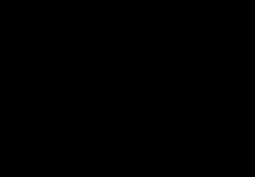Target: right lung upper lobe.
<instances>
[{"mask_svg": "<svg viewBox=\"0 0 255 177\" xmlns=\"http://www.w3.org/2000/svg\"><path fill=\"white\" fill-rule=\"evenodd\" d=\"M109 42L102 36L72 38L52 59L45 77V94L57 123L69 130L75 120L96 110L92 83Z\"/></svg>", "mask_w": 255, "mask_h": 177, "instance_id": "right-lung-upper-lobe-1", "label": "right lung upper lobe"}]
</instances>
